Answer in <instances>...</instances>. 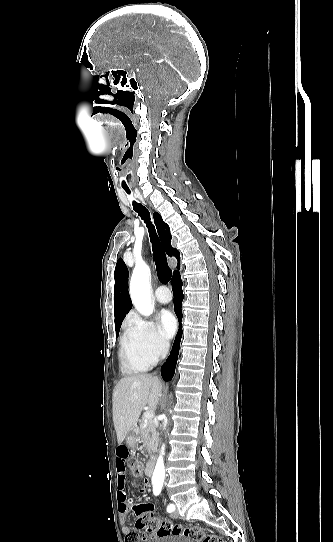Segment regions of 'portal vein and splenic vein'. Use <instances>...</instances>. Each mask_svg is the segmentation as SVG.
<instances>
[{
  "label": "portal vein and splenic vein",
  "mask_w": 333,
  "mask_h": 542,
  "mask_svg": "<svg viewBox=\"0 0 333 542\" xmlns=\"http://www.w3.org/2000/svg\"><path fill=\"white\" fill-rule=\"evenodd\" d=\"M154 416V410H147V412L144 414V418H146V420H153Z\"/></svg>",
  "instance_id": "portal-vein-and-splenic-vein-1"
}]
</instances>
